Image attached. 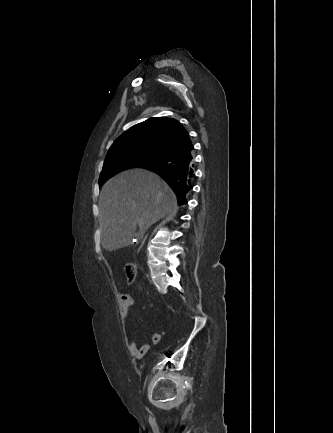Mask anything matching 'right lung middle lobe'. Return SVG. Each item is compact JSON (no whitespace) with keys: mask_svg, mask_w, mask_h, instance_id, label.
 <instances>
[{"mask_svg":"<svg viewBox=\"0 0 333 433\" xmlns=\"http://www.w3.org/2000/svg\"><path fill=\"white\" fill-rule=\"evenodd\" d=\"M168 153L159 148H117L107 153L99 178V187L118 172L131 167H147L164 159Z\"/></svg>","mask_w":333,"mask_h":433,"instance_id":"dd1d6c3e","label":"right lung middle lobe"}]
</instances>
